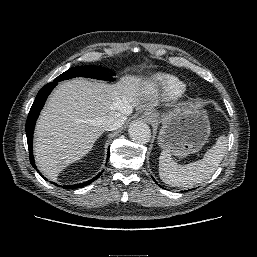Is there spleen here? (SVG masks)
I'll list each match as a JSON object with an SVG mask.
<instances>
[{
    "mask_svg": "<svg viewBox=\"0 0 257 257\" xmlns=\"http://www.w3.org/2000/svg\"><path fill=\"white\" fill-rule=\"evenodd\" d=\"M227 137L220 136L202 160L180 165L171 157L169 150H163L159 157V175L169 185L191 187L210 178L221 163L227 151Z\"/></svg>",
    "mask_w": 257,
    "mask_h": 257,
    "instance_id": "spleen-1",
    "label": "spleen"
}]
</instances>
